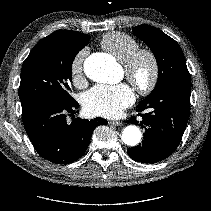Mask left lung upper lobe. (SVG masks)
<instances>
[{
    "mask_svg": "<svg viewBox=\"0 0 211 211\" xmlns=\"http://www.w3.org/2000/svg\"><path fill=\"white\" fill-rule=\"evenodd\" d=\"M135 36L143 40L153 51L158 64V81L149 98L168 84L191 80L186 60L178 43L156 27L139 25L132 29ZM145 98V99H146Z\"/></svg>",
    "mask_w": 211,
    "mask_h": 211,
    "instance_id": "left-lung-upper-lobe-1",
    "label": "left lung upper lobe"
}]
</instances>
